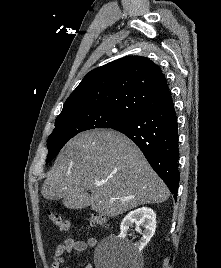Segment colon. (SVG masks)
<instances>
[{
	"label": "colon",
	"instance_id": "colon-1",
	"mask_svg": "<svg viewBox=\"0 0 221 268\" xmlns=\"http://www.w3.org/2000/svg\"><path fill=\"white\" fill-rule=\"evenodd\" d=\"M48 217L51 220V222L61 231H68L70 229L69 221L64 219L60 215L48 211ZM106 225H107L106 219L101 215L94 214L89 218L90 227L106 226Z\"/></svg>",
	"mask_w": 221,
	"mask_h": 268
}]
</instances>
